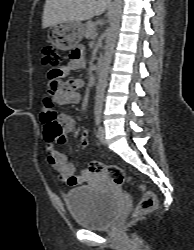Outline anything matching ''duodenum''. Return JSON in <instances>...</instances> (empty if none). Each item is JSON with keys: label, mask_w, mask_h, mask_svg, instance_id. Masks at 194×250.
<instances>
[{"label": "duodenum", "mask_w": 194, "mask_h": 250, "mask_svg": "<svg viewBox=\"0 0 194 250\" xmlns=\"http://www.w3.org/2000/svg\"><path fill=\"white\" fill-rule=\"evenodd\" d=\"M102 64H103V60H102V58H99L96 62V65H95V69H94L95 74H98L101 71Z\"/></svg>", "instance_id": "obj_1"}]
</instances>
